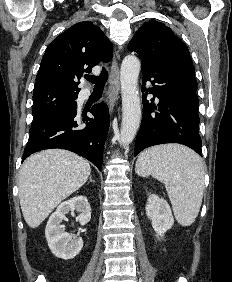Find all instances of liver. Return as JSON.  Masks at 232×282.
Masks as SVG:
<instances>
[{
	"label": "liver",
	"instance_id": "6515ba94",
	"mask_svg": "<svg viewBox=\"0 0 232 282\" xmlns=\"http://www.w3.org/2000/svg\"><path fill=\"white\" fill-rule=\"evenodd\" d=\"M90 173L88 161L67 150L48 149L28 157L18 184L26 223L38 227L61 201L86 183Z\"/></svg>",
	"mask_w": 232,
	"mask_h": 282
}]
</instances>
